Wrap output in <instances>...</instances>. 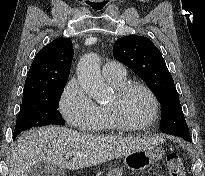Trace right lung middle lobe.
<instances>
[{
  "label": "right lung middle lobe",
  "instance_id": "right-lung-middle-lobe-1",
  "mask_svg": "<svg viewBox=\"0 0 205 176\" xmlns=\"http://www.w3.org/2000/svg\"><path fill=\"white\" fill-rule=\"evenodd\" d=\"M64 85L44 92L23 96L13 134L14 137L32 127L50 124L64 125V120L57 110L58 100L63 92Z\"/></svg>",
  "mask_w": 205,
  "mask_h": 176
}]
</instances>
